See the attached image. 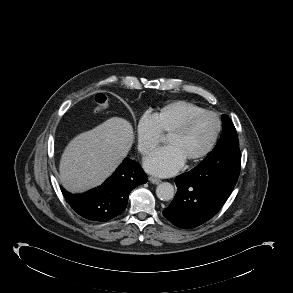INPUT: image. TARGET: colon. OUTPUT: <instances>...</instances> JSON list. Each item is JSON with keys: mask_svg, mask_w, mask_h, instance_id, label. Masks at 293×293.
<instances>
[{"mask_svg": "<svg viewBox=\"0 0 293 293\" xmlns=\"http://www.w3.org/2000/svg\"><path fill=\"white\" fill-rule=\"evenodd\" d=\"M95 112L101 113L105 111L109 106V99L103 93H98L94 96Z\"/></svg>", "mask_w": 293, "mask_h": 293, "instance_id": "5ec220e1", "label": "colon"}]
</instances>
